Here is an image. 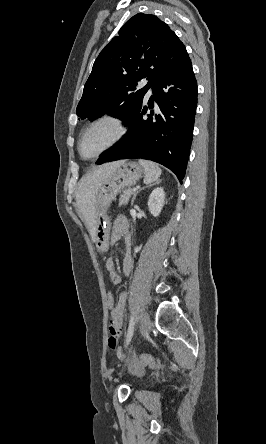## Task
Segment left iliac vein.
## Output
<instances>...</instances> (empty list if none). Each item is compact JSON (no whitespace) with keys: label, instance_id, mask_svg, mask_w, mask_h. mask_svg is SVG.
Returning a JSON list of instances; mask_svg holds the SVG:
<instances>
[{"label":"left iliac vein","instance_id":"obj_1","mask_svg":"<svg viewBox=\"0 0 266 444\" xmlns=\"http://www.w3.org/2000/svg\"><path fill=\"white\" fill-rule=\"evenodd\" d=\"M150 327H151V321H150L149 314L146 311H142V313H141V325H140V334H141V336H146L149 333V331H150ZM134 353H135V351H132V353L130 354V357ZM128 361H129V358H128L127 362Z\"/></svg>","mask_w":266,"mask_h":444}]
</instances>
